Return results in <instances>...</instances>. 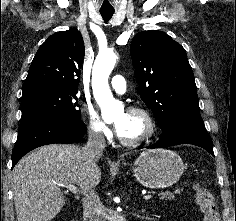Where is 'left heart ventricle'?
Here are the masks:
<instances>
[{
  "mask_svg": "<svg viewBox=\"0 0 236 221\" xmlns=\"http://www.w3.org/2000/svg\"><path fill=\"white\" fill-rule=\"evenodd\" d=\"M116 124H121V137L133 140L142 137L148 129L145 118L139 114L121 112L115 118Z\"/></svg>",
  "mask_w": 236,
  "mask_h": 221,
  "instance_id": "left-heart-ventricle-1",
  "label": "left heart ventricle"
}]
</instances>
